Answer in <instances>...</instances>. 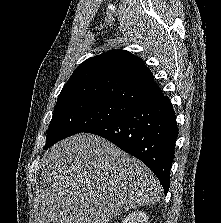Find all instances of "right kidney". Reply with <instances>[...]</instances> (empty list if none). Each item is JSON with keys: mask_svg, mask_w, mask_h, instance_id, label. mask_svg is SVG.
Here are the masks:
<instances>
[{"mask_svg": "<svg viewBox=\"0 0 221 223\" xmlns=\"http://www.w3.org/2000/svg\"><path fill=\"white\" fill-rule=\"evenodd\" d=\"M122 223H148V216L144 212L135 211L124 217Z\"/></svg>", "mask_w": 221, "mask_h": 223, "instance_id": "1", "label": "right kidney"}]
</instances>
